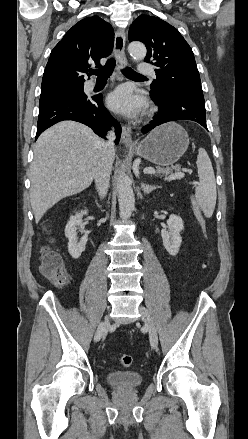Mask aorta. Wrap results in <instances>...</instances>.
I'll return each mask as SVG.
<instances>
[{
  "label": "aorta",
  "instance_id": "1",
  "mask_svg": "<svg viewBox=\"0 0 248 439\" xmlns=\"http://www.w3.org/2000/svg\"><path fill=\"white\" fill-rule=\"evenodd\" d=\"M128 51L134 61L143 60L147 52L145 45L141 42L130 43ZM117 192L120 218L128 219L135 208V197L132 182L125 173L124 165H121V171L117 178Z\"/></svg>",
  "mask_w": 248,
  "mask_h": 439
}]
</instances>
